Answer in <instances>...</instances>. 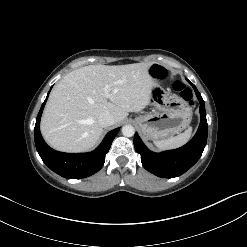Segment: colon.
Listing matches in <instances>:
<instances>
[{
  "label": "colon",
  "instance_id": "colon-1",
  "mask_svg": "<svg viewBox=\"0 0 247 247\" xmlns=\"http://www.w3.org/2000/svg\"><path fill=\"white\" fill-rule=\"evenodd\" d=\"M151 74L155 77H161L165 74L164 70L154 66L151 69ZM173 89L179 93V95L185 99L186 101L191 102L192 100V92L189 88H187L182 82L180 81H175L173 84Z\"/></svg>",
  "mask_w": 247,
  "mask_h": 247
}]
</instances>
